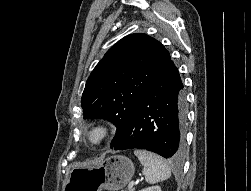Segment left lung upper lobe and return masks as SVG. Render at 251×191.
<instances>
[{"label":"left lung upper lobe","instance_id":"obj_1","mask_svg":"<svg viewBox=\"0 0 251 191\" xmlns=\"http://www.w3.org/2000/svg\"><path fill=\"white\" fill-rule=\"evenodd\" d=\"M170 60L160 42L131 34L111 47L91 72L81 99L84 119L104 118L116 125L111 147Z\"/></svg>","mask_w":251,"mask_h":191}]
</instances>
